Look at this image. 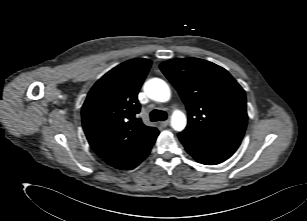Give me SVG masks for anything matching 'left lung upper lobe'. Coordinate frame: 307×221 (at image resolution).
Listing matches in <instances>:
<instances>
[{"mask_svg":"<svg viewBox=\"0 0 307 221\" xmlns=\"http://www.w3.org/2000/svg\"><path fill=\"white\" fill-rule=\"evenodd\" d=\"M160 68L186 105V130L242 140L248 119L245 91L224 68L198 58L168 60Z\"/></svg>","mask_w":307,"mask_h":221,"instance_id":"5c2ea615","label":"left lung upper lobe"}]
</instances>
